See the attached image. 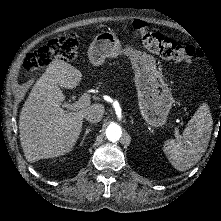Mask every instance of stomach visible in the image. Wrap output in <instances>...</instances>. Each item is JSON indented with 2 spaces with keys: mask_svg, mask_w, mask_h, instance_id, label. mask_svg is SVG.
<instances>
[{
  "mask_svg": "<svg viewBox=\"0 0 221 221\" xmlns=\"http://www.w3.org/2000/svg\"><path fill=\"white\" fill-rule=\"evenodd\" d=\"M122 53L129 55L132 60L138 106L143 119L152 127L164 125L173 104V97L161 73L156 70L151 56L130 47L123 51L114 33L102 32L92 41L88 58L94 66H98L105 57L114 58Z\"/></svg>",
  "mask_w": 221,
  "mask_h": 221,
  "instance_id": "stomach-1",
  "label": "stomach"
}]
</instances>
